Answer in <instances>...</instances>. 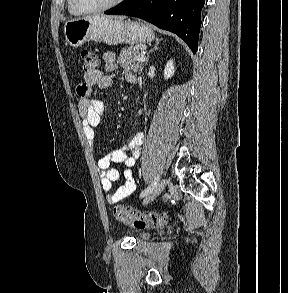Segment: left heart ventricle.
I'll use <instances>...</instances> for the list:
<instances>
[{"label":"left heart ventricle","instance_id":"left-heart-ventricle-1","mask_svg":"<svg viewBox=\"0 0 288 293\" xmlns=\"http://www.w3.org/2000/svg\"><path fill=\"white\" fill-rule=\"evenodd\" d=\"M113 0H76L77 4L85 9L103 6L112 2Z\"/></svg>","mask_w":288,"mask_h":293}]
</instances>
